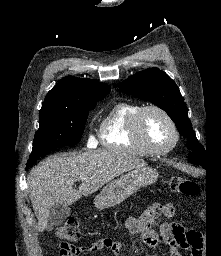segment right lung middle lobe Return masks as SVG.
Returning <instances> with one entry per match:
<instances>
[{
	"instance_id": "1",
	"label": "right lung middle lobe",
	"mask_w": 221,
	"mask_h": 256,
	"mask_svg": "<svg viewBox=\"0 0 221 256\" xmlns=\"http://www.w3.org/2000/svg\"><path fill=\"white\" fill-rule=\"evenodd\" d=\"M104 97L105 95L81 100L71 110L39 112V129L34 136L27 168L54 149L77 144L81 140L88 112Z\"/></svg>"
}]
</instances>
